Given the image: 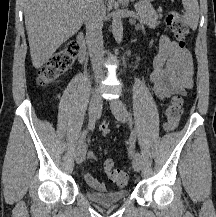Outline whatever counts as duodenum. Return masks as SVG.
Listing matches in <instances>:
<instances>
[{"label": "duodenum", "mask_w": 216, "mask_h": 217, "mask_svg": "<svg viewBox=\"0 0 216 217\" xmlns=\"http://www.w3.org/2000/svg\"><path fill=\"white\" fill-rule=\"evenodd\" d=\"M77 41H78L79 48H80L79 60H80V62L83 63L87 58V44H86L84 35L78 34Z\"/></svg>", "instance_id": "duodenum-1"}]
</instances>
